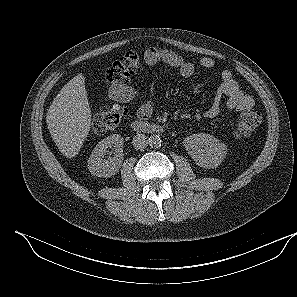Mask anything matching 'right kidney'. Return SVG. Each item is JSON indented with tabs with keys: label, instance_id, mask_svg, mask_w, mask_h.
Returning <instances> with one entry per match:
<instances>
[{
	"label": "right kidney",
	"instance_id": "ca27d5eb",
	"mask_svg": "<svg viewBox=\"0 0 297 297\" xmlns=\"http://www.w3.org/2000/svg\"><path fill=\"white\" fill-rule=\"evenodd\" d=\"M123 137L113 134L101 140L92 151L88 160V169L98 177L115 175L123 162ZM108 148H114L113 157L105 158Z\"/></svg>",
	"mask_w": 297,
	"mask_h": 297
}]
</instances>
